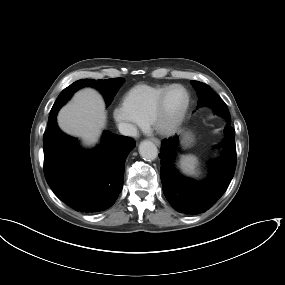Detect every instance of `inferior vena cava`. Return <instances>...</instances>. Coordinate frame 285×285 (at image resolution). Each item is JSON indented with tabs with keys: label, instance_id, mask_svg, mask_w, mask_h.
<instances>
[{
	"label": "inferior vena cava",
	"instance_id": "1",
	"mask_svg": "<svg viewBox=\"0 0 285 285\" xmlns=\"http://www.w3.org/2000/svg\"><path fill=\"white\" fill-rule=\"evenodd\" d=\"M119 132L125 136L136 137L138 135V131L136 126L130 123L121 122L118 124Z\"/></svg>",
	"mask_w": 285,
	"mask_h": 285
}]
</instances>
